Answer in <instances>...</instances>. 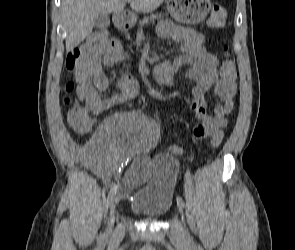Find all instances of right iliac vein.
I'll list each match as a JSON object with an SVG mask.
<instances>
[{"label":"right iliac vein","instance_id":"obj_1","mask_svg":"<svg viewBox=\"0 0 295 250\" xmlns=\"http://www.w3.org/2000/svg\"><path fill=\"white\" fill-rule=\"evenodd\" d=\"M121 198V195L118 194L113 198L112 204H111V211L107 222V228H106V237H109L113 231L114 223H115V211H116V205L119 202Z\"/></svg>","mask_w":295,"mask_h":250}]
</instances>
